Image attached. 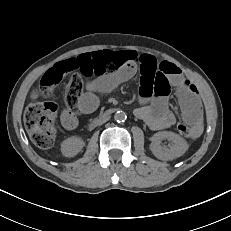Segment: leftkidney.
<instances>
[{
	"instance_id": "obj_1",
	"label": "left kidney",
	"mask_w": 231,
	"mask_h": 231,
	"mask_svg": "<svg viewBox=\"0 0 231 231\" xmlns=\"http://www.w3.org/2000/svg\"><path fill=\"white\" fill-rule=\"evenodd\" d=\"M167 139L172 145L167 148L161 146V140ZM150 149L155 157L160 160H172L182 156L188 149V144L184 138L170 131H162L152 136Z\"/></svg>"
}]
</instances>
